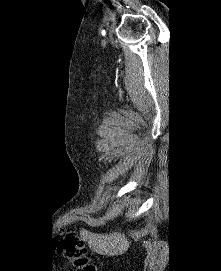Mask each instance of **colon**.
<instances>
[{
	"mask_svg": "<svg viewBox=\"0 0 221 271\" xmlns=\"http://www.w3.org/2000/svg\"><path fill=\"white\" fill-rule=\"evenodd\" d=\"M57 243L76 271H98L85 248L84 240L72 228L61 230L57 234Z\"/></svg>",
	"mask_w": 221,
	"mask_h": 271,
	"instance_id": "5ec220e1",
	"label": "colon"
}]
</instances>
